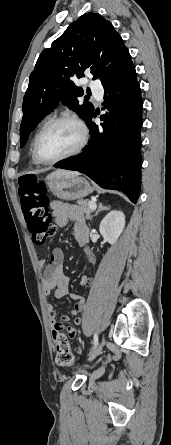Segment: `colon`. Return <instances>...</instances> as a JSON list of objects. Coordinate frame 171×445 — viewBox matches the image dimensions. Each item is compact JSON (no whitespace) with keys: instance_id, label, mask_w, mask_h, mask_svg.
I'll list each match as a JSON object with an SVG mask.
<instances>
[{"instance_id":"5ec220e1","label":"colon","mask_w":171,"mask_h":445,"mask_svg":"<svg viewBox=\"0 0 171 445\" xmlns=\"http://www.w3.org/2000/svg\"><path fill=\"white\" fill-rule=\"evenodd\" d=\"M21 209L28 230L37 245H44L56 232L49 211V198L45 183L34 176H25L18 182ZM56 362L61 366H73L74 357L63 333L55 340Z\"/></svg>"}]
</instances>
